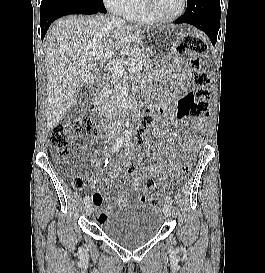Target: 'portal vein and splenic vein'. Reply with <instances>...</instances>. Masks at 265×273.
I'll return each mask as SVG.
<instances>
[{"mask_svg": "<svg viewBox=\"0 0 265 273\" xmlns=\"http://www.w3.org/2000/svg\"><path fill=\"white\" fill-rule=\"evenodd\" d=\"M101 58L100 54H97L95 57H93V61H97ZM123 62L120 61H112L110 63H107L106 68L108 70H111L114 72V74L116 75H123L124 73V67H123ZM129 72H134L135 71V67H130L128 68Z\"/></svg>", "mask_w": 265, "mask_h": 273, "instance_id": "obj_1", "label": "portal vein and splenic vein"}]
</instances>
